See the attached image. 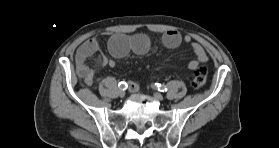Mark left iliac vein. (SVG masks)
Returning a JSON list of instances; mask_svg holds the SVG:
<instances>
[{
  "label": "left iliac vein",
  "mask_w": 279,
  "mask_h": 148,
  "mask_svg": "<svg viewBox=\"0 0 279 148\" xmlns=\"http://www.w3.org/2000/svg\"><path fill=\"white\" fill-rule=\"evenodd\" d=\"M154 96H155V98H157L160 101H162L164 99L163 95L159 92H155Z\"/></svg>",
  "instance_id": "4c4485c4"
}]
</instances>
